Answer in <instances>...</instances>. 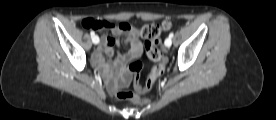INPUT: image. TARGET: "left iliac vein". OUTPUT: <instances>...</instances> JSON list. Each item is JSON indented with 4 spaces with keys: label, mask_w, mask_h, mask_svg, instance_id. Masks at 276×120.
<instances>
[{
    "label": "left iliac vein",
    "mask_w": 276,
    "mask_h": 120,
    "mask_svg": "<svg viewBox=\"0 0 276 120\" xmlns=\"http://www.w3.org/2000/svg\"><path fill=\"white\" fill-rule=\"evenodd\" d=\"M171 44H172L171 38H167V39L165 40V45H166V47H170Z\"/></svg>",
    "instance_id": "left-iliac-vein-1"
}]
</instances>
